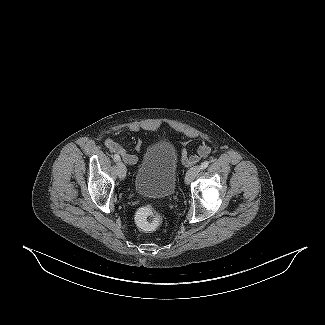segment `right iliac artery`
Here are the masks:
<instances>
[{"mask_svg":"<svg viewBox=\"0 0 325 325\" xmlns=\"http://www.w3.org/2000/svg\"><path fill=\"white\" fill-rule=\"evenodd\" d=\"M114 160H115V161H120V156L117 155V154H115V155H114Z\"/></svg>","mask_w":325,"mask_h":325,"instance_id":"1","label":"right iliac artery"}]
</instances>
